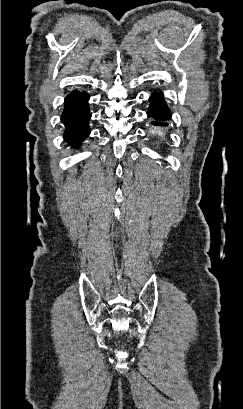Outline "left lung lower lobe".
Segmentation results:
<instances>
[{
  "label": "left lung lower lobe",
  "instance_id": "0a47b994",
  "mask_svg": "<svg viewBox=\"0 0 243 409\" xmlns=\"http://www.w3.org/2000/svg\"><path fill=\"white\" fill-rule=\"evenodd\" d=\"M151 104L148 108L147 116L153 118V125H161L158 121H167L171 118V112L164 101L162 92H153L149 98ZM167 126V123L165 124Z\"/></svg>",
  "mask_w": 243,
  "mask_h": 409
}]
</instances>
